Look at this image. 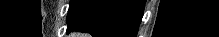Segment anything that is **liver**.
<instances>
[{"instance_id":"liver-1","label":"liver","mask_w":219,"mask_h":37,"mask_svg":"<svg viewBox=\"0 0 219 37\" xmlns=\"http://www.w3.org/2000/svg\"><path fill=\"white\" fill-rule=\"evenodd\" d=\"M75 36L73 37H84V36H81V34L77 33V34H74Z\"/></svg>"}]
</instances>
